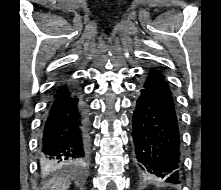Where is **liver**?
<instances>
[{
    "instance_id": "6515ba94",
    "label": "liver",
    "mask_w": 221,
    "mask_h": 190,
    "mask_svg": "<svg viewBox=\"0 0 221 190\" xmlns=\"http://www.w3.org/2000/svg\"><path fill=\"white\" fill-rule=\"evenodd\" d=\"M71 182L62 178H53L45 183L43 190H67Z\"/></svg>"
}]
</instances>
